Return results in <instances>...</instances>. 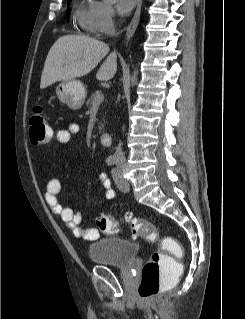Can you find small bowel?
I'll use <instances>...</instances> for the list:
<instances>
[{"mask_svg": "<svg viewBox=\"0 0 245 319\" xmlns=\"http://www.w3.org/2000/svg\"><path fill=\"white\" fill-rule=\"evenodd\" d=\"M80 132L77 124H70L66 129L59 130L56 134V141L60 144L68 143L72 136ZM99 180L104 192V198L108 201L115 198V191L111 187L110 180L106 173L99 175ZM62 191V184L58 178H51L47 182L45 200L50 209L63 221V223L71 230V232L86 241H93L100 237V230L96 227L82 229L80 223L82 221V213L79 210H73L63 205L59 200Z\"/></svg>", "mask_w": 245, "mask_h": 319, "instance_id": "small-bowel-1", "label": "small bowel"}]
</instances>
